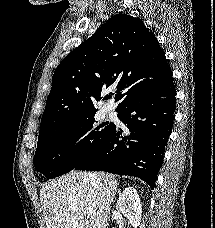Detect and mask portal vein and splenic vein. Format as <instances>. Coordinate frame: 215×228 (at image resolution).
<instances>
[{
	"mask_svg": "<svg viewBox=\"0 0 215 228\" xmlns=\"http://www.w3.org/2000/svg\"><path fill=\"white\" fill-rule=\"evenodd\" d=\"M87 214H92V212H87Z\"/></svg>",
	"mask_w": 215,
	"mask_h": 228,
	"instance_id": "obj_1",
	"label": "portal vein and splenic vein"
}]
</instances>
